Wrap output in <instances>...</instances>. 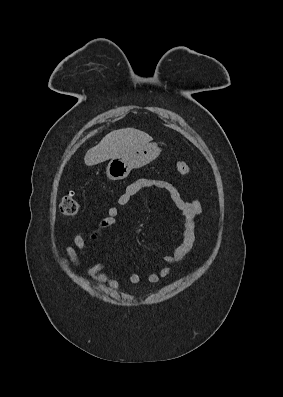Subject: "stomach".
I'll return each mask as SVG.
<instances>
[{
	"mask_svg": "<svg viewBox=\"0 0 283 397\" xmlns=\"http://www.w3.org/2000/svg\"><path fill=\"white\" fill-rule=\"evenodd\" d=\"M160 152L156 144L147 143L125 157L111 159L106 174L111 180H122L132 169L141 168L155 160Z\"/></svg>",
	"mask_w": 283,
	"mask_h": 397,
	"instance_id": "1",
	"label": "stomach"
}]
</instances>
